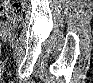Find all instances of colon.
Segmentation results:
<instances>
[{
	"instance_id": "1",
	"label": "colon",
	"mask_w": 93,
	"mask_h": 83,
	"mask_svg": "<svg viewBox=\"0 0 93 83\" xmlns=\"http://www.w3.org/2000/svg\"><path fill=\"white\" fill-rule=\"evenodd\" d=\"M22 3L23 2H21V1L4 2L1 7V11H2V13L16 12L18 10V7H20L22 5Z\"/></svg>"
}]
</instances>
